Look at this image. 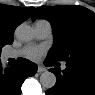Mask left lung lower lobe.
<instances>
[{"label": "left lung lower lobe", "mask_w": 95, "mask_h": 95, "mask_svg": "<svg viewBox=\"0 0 95 95\" xmlns=\"http://www.w3.org/2000/svg\"><path fill=\"white\" fill-rule=\"evenodd\" d=\"M55 61L47 58L45 65ZM56 75V85L47 90V95H95V65L66 62V69L60 72L51 68Z\"/></svg>", "instance_id": "obj_1"}]
</instances>
